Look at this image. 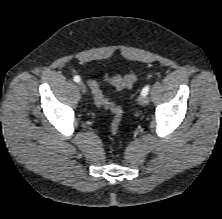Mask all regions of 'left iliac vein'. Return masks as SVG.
Here are the masks:
<instances>
[{
	"mask_svg": "<svg viewBox=\"0 0 222 219\" xmlns=\"http://www.w3.org/2000/svg\"><path fill=\"white\" fill-rule=\"evenodd\" d=\"M138 103L142 106H146L149 103V98L147 96H139Z\"/></svg>",
	"mask_w": 222,
	"mask_h": 219,
	"instance_id": "left-iliac-vein-1",
	"label": "left iliac vein"
}]
</instances>
